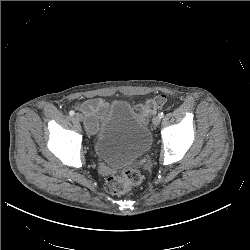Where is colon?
Returning <instances> with one entry per match:
<instances>
[{
	"mask_svg": "<svg viewBox=\"0 0 250 250\" xmlns=\"http://www.w3.org/2000/svg\"><path fill=\"white\" fill-rule=\"evenodd\" d=\"M165 97L157 95L145 100L135 107V112L143 119L161 109L165 104ZM142 176L138 169L129 167L106 181V190L112 194H124L139 185Z\"/></svg>",
	"mask_w": 250,
	"mask_h": 250,
	"instance_id": "colon-1",
	"label": "colon"
}]
</instances>
